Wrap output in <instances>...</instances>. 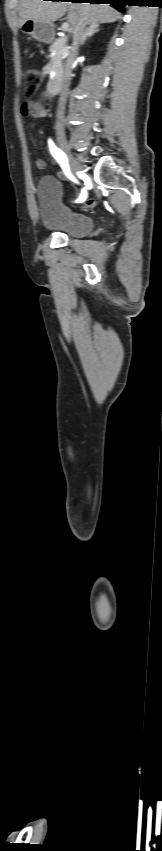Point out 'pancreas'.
<instances>
[{
	"label": "pancreas",
	"instance_id": "obj_1",
	"mask_svg": "<svg viewBox=\"0 0 162 851\" xmlns=\"http://www.w3.org/2000/svg\"><path fill=\"white\" fill-rule=\"evenodd\" d=\"M51 53V61L47 64L46 69L58 74L61 71L63 61L69 54V49L66 41L63 38L56 39L49 49Z\"/></svg>",
	"mask_w": 162,
	"mask_h": 851
}]
</instances>
